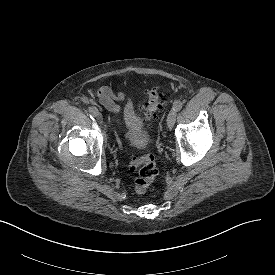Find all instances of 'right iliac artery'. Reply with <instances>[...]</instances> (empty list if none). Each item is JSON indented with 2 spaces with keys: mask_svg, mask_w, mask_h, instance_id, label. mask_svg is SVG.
Here are the masks:
<instances>
[{
  "mask_svg": "<svg viewBox=\"0 0 275 275\" xmlns=\"http://www.w3.org/2000/svg\"><path fill=\"white\" fill-rule=\"evenodd\" d=\"M89 112H90L91 115L94 116L97 112V108L94 107V106H91V107H89Z\"/></svg>",
  "mask_w": 275,
  "mask_h": 275,
  "instance_id": "1",
  "label": "right iliac artery"
}]
</instances>
